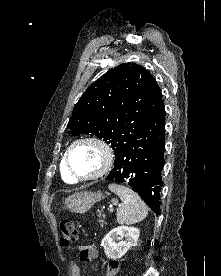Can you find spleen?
Here are the masks:
<instances>
[{
	"label": "spleen",
	"mask_w": 221,
	"mask_h": 276,
	"mask_svg": "<svg viewBox=\"0 0 221 276\" xmlns=\"http://www.w3.org/2000/svg\"><path fill=\"white\" fill-rule=\"evenodd\" d=\"M109 190L116 193L123 201L124 206L116 212L119 224H133L142 221L148 215V208L142 199L128 187L118 184H110Z\"/></svg>",
	"instance_id": "spleen-1"
}]
</instances>
